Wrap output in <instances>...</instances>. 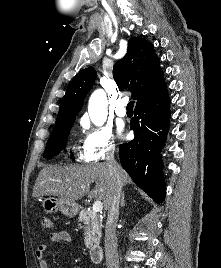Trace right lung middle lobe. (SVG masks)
Masks as SVG:
<instances>
[{"instance_id":"right-lung-middle-lobe-1","label":"right lung middle lobe","mask_w":221,"mask_h":268,"mask_svg":"<svg viewBox=\"0 0 221 268\" xmlns=\"http://www.w3.org/2000/svg\"><path fill=\"white\" fill-rule=\"evenodd\" d=\"M74 124V119L68 120L59 124H55V127L47 141L45 152L43 157L49 158L58 155L67 144V137Z\"/></svg>"}]
</instances>
